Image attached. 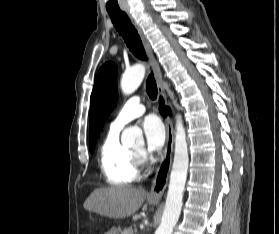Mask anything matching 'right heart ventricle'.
<instances>
[{"label":"right heart ventricle","instance_id":"e07e8e85","mask_svg":"<svg viewBox=\"0 0 279 234\" xmlns=\"http://www.w3.org/2000/svg\"><path fill=\"white\" fill-rule=\"evenodd\" d=\"M100 168L105 180L113 186H124L138 178V165L131 149L119 140V131L111 130L99 152Z\"/></svg>","mask_w":279,"mask_h":234}]
</instances>
